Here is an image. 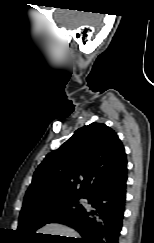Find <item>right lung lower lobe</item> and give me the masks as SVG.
I'll list each match as a JSON object with an SVG mask.
<instances>
[{
	"instance_id": "obj_1",
	"label": "right lung lower lobe",
	"mask_w": 154,
	"mask_h": 243,
	"mask_svg": "<svg viewBox=\"0 0 154 243\" xmlns=\"http://www.w3.org/2000/svg\"><path fill=\"white\" fill-rule=\"evenodd\" d=\"M127 167L98 183L85 196L91 208L66 214L55 222L77 230L70 243H118L126 199Z\"/></svg>"
}]
</instances>
